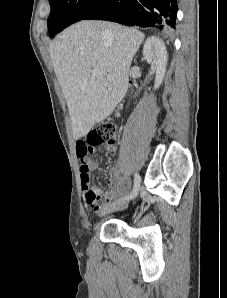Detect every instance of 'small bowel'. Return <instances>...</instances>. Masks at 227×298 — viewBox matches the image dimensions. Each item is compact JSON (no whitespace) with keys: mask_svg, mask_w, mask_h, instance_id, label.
Returning a JSON list of instances; mask_svg holds the SVG:
<instances>
[{"mask_svg":"<svg viewBox=\"0 0 227 298\" xmlns=\"http://www.w3.org/2000/svg\"><path fill=\"white\" fill-rule=\"evenodd\" d=\"M75 147L77 150V157L81 160V185L82 189L85 193V201L86 206L89 210L95 211L99 208V204L103 202L110 201L113 197L117 196L121 190L125 187V181L121 178L119 171L117 168H112L109 172V190L105 193L102 192V190L98 186H91L89 183V176L88 172L90 170H96L98 168V163L94 161H89V155H94V150H92V147L89 146V142H87V139H76ZM116 146L114 145H108L107 150L109 151H115ZM88 179L87 187L84 186V180ZM90 191L92 192L97 200L94 204L89 203V201L86 198V193Z\"/></svg>","mask_w":227,"mask_h":298,"instance_id":"obj_1","label":"small bowel"}]
</instances>
